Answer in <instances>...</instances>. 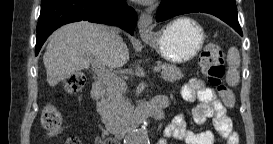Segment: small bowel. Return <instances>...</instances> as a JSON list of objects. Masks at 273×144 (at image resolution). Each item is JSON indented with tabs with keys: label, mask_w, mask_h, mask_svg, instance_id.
<instances>
[{
	"label": "small bowel",
	"mask_w": 273,
	"mask_h": 144,
	"mask_svg": "<svg viewBox=\"0 0 273 144\" xmlns=\"http://www.w3.org/2000/svg\"><path fill=\"white\" fill-rule=\"evenodd\" d=\"M182 98L188 102H197L192 111L195 124L204 125L208 120L213 122L215 131L206 130L193 132L186 127V119L183 114H176L163 131L164 137L158 144H166L168 139H175L185 144H214L217 135L228 144H237L238 136L227 116V109L217 97L214 89L207 86L198 78H191L182 89ZM74 143V142H70ZM98 143H112L99 139Z\"/></svg>",
	"instance_id": "obj_1"
}]
</instances>
